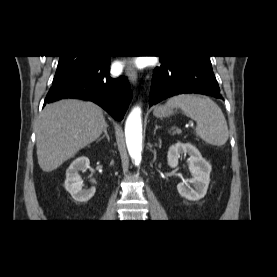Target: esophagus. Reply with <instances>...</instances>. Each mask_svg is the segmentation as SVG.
<instances>
[{
  "label": "esophagus",
  "mask_w": 277,
  "mask_h": 277,
  "mask_svg": "<svg viewBox=\"0 0 277 277\" xmlns=\"http://www.w3.org/2000/svg\"><path fill=\"white\" fill-rule=\"evenodd\" d=\"M125 73L133 84L137 83V71L131 63L127 64L125 68Z\"/></svg>",
  "instance_id": "esophagus-1"
}]
</instances>
